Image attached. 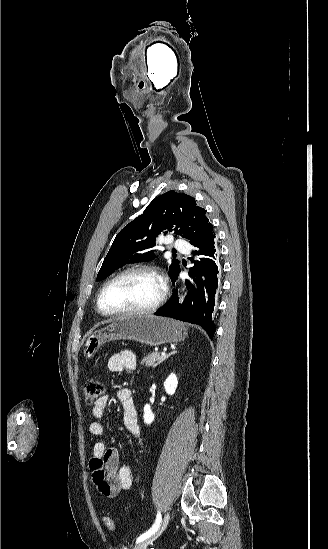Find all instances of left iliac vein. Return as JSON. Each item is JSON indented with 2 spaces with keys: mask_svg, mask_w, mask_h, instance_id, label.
Returning <instances> with one entry per match:
<instances>
[{
  "mask_svg": "<svg viewBox=\"0 0 328 549\" xmlns=\"http://www.w3.org/2000/svg\"><path fill=\"white\" fill-rule=\"evenodd\" d=\"M169 519H170V514L169 512H167L162 520V522L160 523L158 529L155 531V533H153L151 536H149L148 538L144 539L143 541L139 542L135 547L134 549H145V547L147 545H149L153 540H155L156 538H158L162 532L166 529L167 525H168V522H169Z\"/></svg>",
  "mask_w": 328,
  "mask_h": 549,
  "instance_id": "4c4485c4",
  "label": "left iliac vein"
}]
</instances>
